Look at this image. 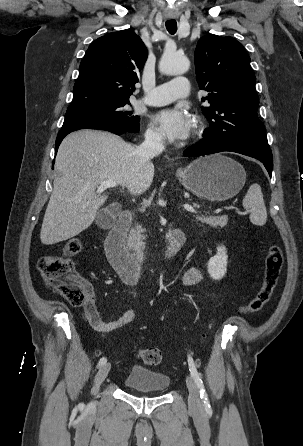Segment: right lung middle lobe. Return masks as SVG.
<instances>
[{
    "instance_id": "1",
    "label": "right lung middle lobe",
    "mask_w": 303,
    "mask_h": 446,
    "mask_svg": "<svg viewBox=\"0 0 303 446\" xmlns=\"http://www.w3.org/2000/svg\"><path fill=\"white\" fill-rule=\"evenodd\" d=\"M129 101H119L111 104L99 105L85 109L67 110L62 128L85 120H104L116 123L130 132L137 133L139 117L123 110Z\"/></svg>"
}]
</instances>
